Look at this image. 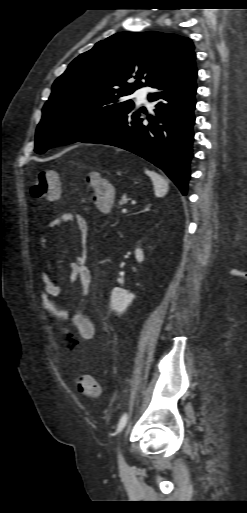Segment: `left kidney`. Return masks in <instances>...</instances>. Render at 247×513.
I'll use <instances>...</instances> for the list:
<instances>
[{
  "label": "left kidney",
  "mask_w": 247,
  "mask_h": 513,
  "mask_svg": "<svg viewBox=\"0 0 247 513\" xmlns=\"http://www.w3.org/2000/svg\"><path fill=\"white\" fill-rule=\"evenodd\" d=\"M135 258L139 263L144 261V253L141 248L135 249ZM135 295L128 293V291L115 287L111 294V308L117 313H123L126 308L132 303Z\"/></svg>",
  "instance_id": "left-kidney-1"
}]
</instances>
